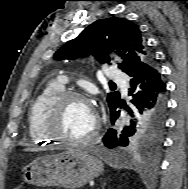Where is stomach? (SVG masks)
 Here are the masks:
<instances>
[{"label": "stomach", "mask_w": 188, "mask_h": 189, "mask_svg": "<svg viewBox=\"0 0 188 189\" xmlns=\"http://www.w3.org/2000/svg\"><path fill=\"white\" fill-rule=\"evenodd\" d=\"M23 180L37 186H84L102 172V163L87 152L68 150L39 157L23 170Z\"/></svg>", "instance_id": "stomach-1"}]
</instances>
